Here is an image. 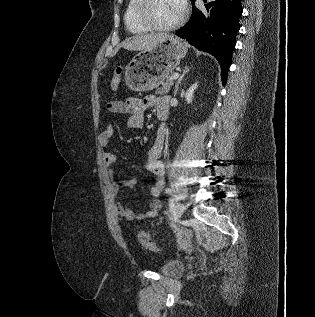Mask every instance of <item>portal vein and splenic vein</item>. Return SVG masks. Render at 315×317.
I'll return each instance as SVG.
<instances>
[{"instance_id": "1", "label": "portal vein and splenic vein", "mask_w": 315, "mask_h": 317, "mask_svg": "<svg viewBox=\"0 0 315 317\" xmlns=\"http://www.w3.org/2000/svg\"><path fill=\"white\" fill-rule=\"evenodd\" d=\"M179 77V73H174L172 75V80H176Z\"/></svg>"}]
</instances>
